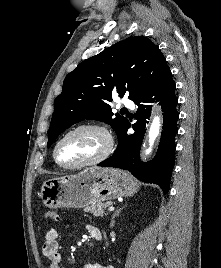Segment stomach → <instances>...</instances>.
<instances>
[{
  "label": "stomach",
  "instance_id": "1",
  "mask_svg": "<svg viewBox=\"0 0 221 268\" xmlns=\"http://www.w3.org/2000/svg\"><path fill=\"white\" fill-rule=\"evenodd\" d=\"M138 188L137 182L125 171L91 167L75 175L45 181L40 198L51 209L81 208L131 196Z\"/></svg>",
  "mask_w": 221,
  "mask_h": 268
}]
</instances>
